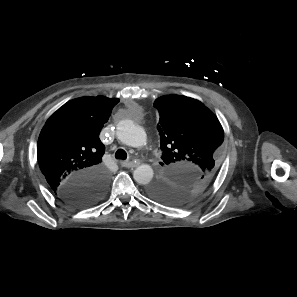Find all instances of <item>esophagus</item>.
<instances>
[{
    "mask_svg": "<svg viewBox=\"0 0 297 297\" xmlns=\"http://www.w3.org/2000/svg\"><path fill=\"white\" fill-rule=\"evenodd\" d=\"M121 165H122L123 167L130 168V167H136V166H138V163L133 162V161H122V162H121Z\"/></svg>",
    "mask_w": 297,
    "mask_h": 297,
    "instance_id": "1",
    "label": "esophagus"
}]
</instances>
